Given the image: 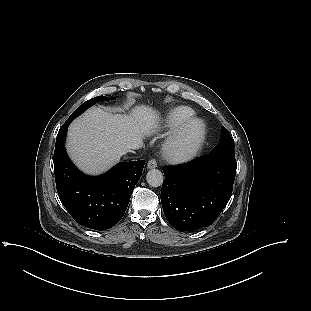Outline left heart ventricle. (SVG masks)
<instances>
[{
	"label": "left heart ventricle",
	"instance_id": "1",
	"mask_svg": "<svg viewBox=\"0 0 311 311\" xmlns=\"http://www.w3.org/2000/svg\"><path fill=\"white\" fill-rule=\"evenodd\" d=\"M193 137V134L192 133H188L187 135L184 136L183 138V141H182V144H187Z\"/></svg>",
	"mask_w": 311,
	"mask_h": 311
}]
</instances>
